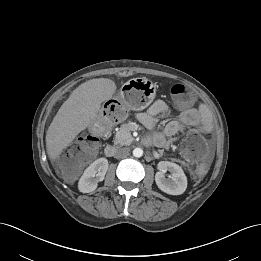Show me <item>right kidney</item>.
Wrapping results in <instances>:
<instances>
[{
    "label": "right kidney",
    "mask_w": 261,
    "mask_h": 261,
    "mask_svg": "<svg viewBox=\"0 0 261 261\" xmlns=\"http://www.w3.org/2000/svg\"><path fill=\"white\" fill-rule=\"evenodd\" d=\"M108 160L99 158L95 160L89 167L86 168L78 182V189L82 193L94 191L98 183L103 181L108 170Z\"/></svg>",
    "instance_id": "1"
}]
</instances>
